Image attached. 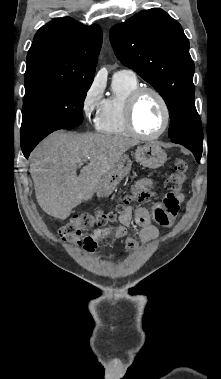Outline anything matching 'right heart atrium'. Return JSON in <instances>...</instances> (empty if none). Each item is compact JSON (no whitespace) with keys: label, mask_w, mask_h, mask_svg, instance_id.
<instances>
[{"label":"right heart atrium","mask_w":221,"mask_h":379,"mask_svg":"<svg viewBox=\"0 0 221 379\" xmlns=\"http://www.w3.org/2000/svg\"><path fill=\"white\" fill-rule=\"evenodd\" d=\"M105 102L104 86L94 79L87 87L81 102V109L87 119H96Z\"/></svg>","instance_id":"1"}]
</instances>
